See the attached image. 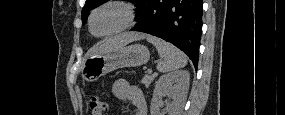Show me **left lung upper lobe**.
<instances>
[{
	"label": "left lung upper lobe",
	"mask_w": 285,
	"mask_h": 115,
	"mask_svg": "<svg viewBox=\"0 0 285 115\" xmlns=\"http://www.w3.org/2000/svg\"><path fill=\"white\" fill-rule=\"evenodd\" d=\"M107 1L108 0H86L85 6L83 7L82 12H81L83 25L87 21L88 13L92 9L104 4ZM128 1L132 2L137 8H139L140 4L143 2V0H128Z\"/></svg>",
	"instance_id": "left-lung-upper-lobe-1"
}]
</instances>
